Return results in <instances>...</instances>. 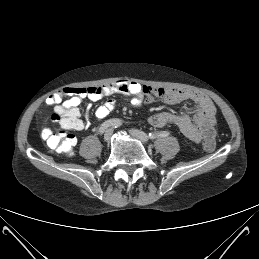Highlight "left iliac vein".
<instances>
[{"label":"left iliac vein","instance_id":"obj_1","mask_svg":"<svg viewBox=\"0 0 259 259\" xmlns=\"http://www.w3.org/2000/svg\"><path fill=\"white\" fill-rule=\"evenodd\" d=\"M130 134L134 138L140 140L142 143H148V141H149V137L147 136V134L138 129H131Z\"/></svg>","mask_w":259,"mask_h":259}]
</instances>
